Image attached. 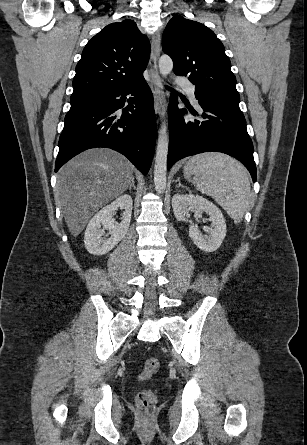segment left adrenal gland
<instances>
[{
	"label": "left adrenal gland",
	"mask_w": 307,
	"mask_h": 445,
	"mask_svg": "<svg viewBox=\"0 0 307 445\" xmlns=\"http://www.w3.org/2000/svg\"><path fill=\"white\" fill-rule=\"evenodd\" d=\"M177 182H178V184H177L176 188H178V186H183V188H187V186H184V184H181L179 178H178Z\"/></svg>",
	"instance_id": "left-adrenal-gland-1"
}]
</instances>
